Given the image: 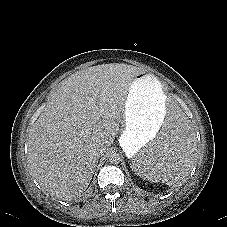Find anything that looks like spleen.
<instances>
[{
    "instance_id": "3e777b00",
    "label": "spleen",
    "mask_w": 227,
    "mask_h": 227,
    "mask_svg": "<svg viewBox=\"0 0 227 227\" xmlns=\"http://www.w3.org/2000/svg\"><path fill=\"white\" fill-rule=\"evenodd\" d=\"M196 150L191 122L180 107L171 106L163 128L132 154L129 167L143 179L175 186L189 176L196 162Z\"/></svg>"
}]
</instances>
